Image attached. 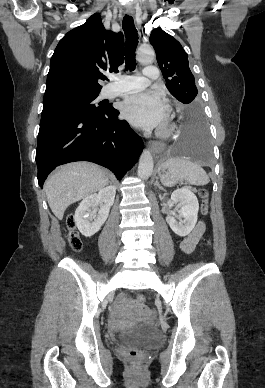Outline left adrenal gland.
Here are the masks:
<instances>
[{
    "label": "left adrenal gland",
    "mask_w": 265,
    "mask_h": 388,
    "mask_svg": "<svg viewBox=\"0 0 265 388\" xmlns=\"http://www.w3.org/2000/svg\"><path fill=\"white\" fill-rule=\"evenodd\" d=\"M154 186H158V188H161V186H160V184L158 182V178H156V182H155Z\"/></svg>",
    "instance_id": "left-adrenal-gland-1"
}]
</instances>
